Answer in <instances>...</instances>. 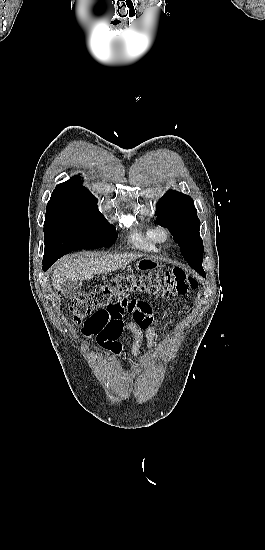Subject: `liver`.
Instances as JSON below:
<instances>
[{
	"mask_svg": "<svg viewBox=\"0 0 265 550\" xmlns=\"http://www.w3.org/2000/svg\"><path fill=\"white\" fill-rule=\"evenodd\" d=\"M138 256L134 254L103 255L85 258L80 255L68 257L64 262L57 264L53 271L52 285L61 290L68 282L90 280L94 275L105 274L122 268L134 261Z\"/></svg>",
	"mask_w": 265,
	"mask_h": 550,
	"instance_id": "1",
	"label": "liver"
}]
</instances>
